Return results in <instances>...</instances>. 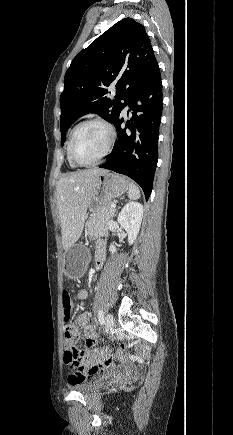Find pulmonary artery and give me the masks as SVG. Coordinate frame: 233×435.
<instances>
[{"label":"pulmonary artery","instance_id":"1","mask_svg":"<svg viewBox=\"0 0 233 435\" xmlns=\"http://www.w3.org/2000/svg\"><path fill=\"white\" fill-rule=\"evenodd\" d=\"M127 110H128V106L125 107V111H127Z\"/></svg>","mask_w":233,"mask_h":435}]
</instances>
